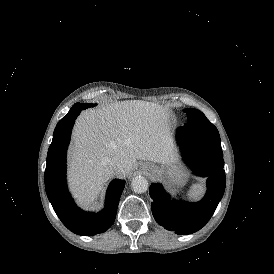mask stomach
Returning a JSON list of instances; mask_svg holds the SVG:
<instances>
[{
	"label": "stomach",
	"instance_id": "obj_1",
	"mask_svg": "<svg viewBox=\"0 0 274 274\" xmlns=\"http://www.w3.org/2000/svg\"><path fill=\"white\" fill-rule=\"evenodd\" d=\"M174 161L172 160L170 163L161 166V168L157 167L156 165L151 164V172L149 174L150 178H160L165 174V169L167 168L171 175L175 177L176 181L182 183L183 174L177 168L169 166V164H173Z\"/></svg>",
	"mask_w": 274,
	"mask_h": 274
}]
</instances>
